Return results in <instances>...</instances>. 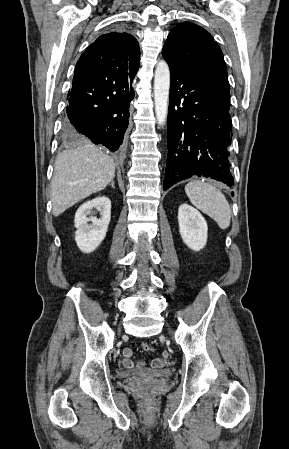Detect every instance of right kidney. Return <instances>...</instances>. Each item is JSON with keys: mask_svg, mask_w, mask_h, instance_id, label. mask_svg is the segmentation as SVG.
<instances>
[{"mask_svg": "<svg viewBox=\"0 0 289 449\" xmlns=\"http://www.w3.org/2000/svg\"><path fill=\"white\" fill-rule=\"evenodd\" d=\"M93 209L100 212V219L89 216ZM110 219L111 202L105 196L87 201L78 208L74 219V226L77 229L75 241L82 252L91 253L101 244L106 236Z\"/></svg>", "mask_w": 289, "mask_h": 449, "instance_id": "right-kidney-1", "label": "right kidney"}]
</instances>
